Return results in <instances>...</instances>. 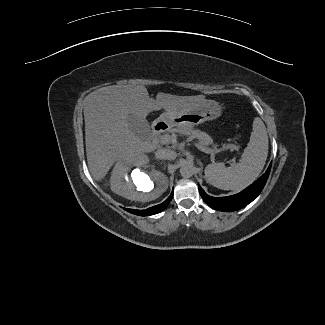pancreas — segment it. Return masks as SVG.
Wrapping results in <instances>:
<instances>
[{
	"mask_svg": "<svg viewBox=\"0 0 325 325\" xmlns=\"http://www.w3.org/2000/svg\"><path fill=\"white\" fill-rule=\"evenodd\" d=\"M188 134H190V136L192 137V138H197V139H199V144H200V148L201 149H204V150H206V151H209L207 148H206V146L207 145H209V144H211L212 143V138L209 136V135H207L206 133H204V132H201V131H199V130H191Z\"/></svg>",
	"mask_w": 325,
	"mask_h": 325,
	"instance_id": "cf45deb5",
	"label": "pancreas"
}]
</instances>
